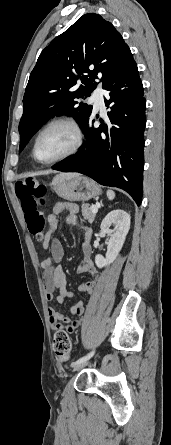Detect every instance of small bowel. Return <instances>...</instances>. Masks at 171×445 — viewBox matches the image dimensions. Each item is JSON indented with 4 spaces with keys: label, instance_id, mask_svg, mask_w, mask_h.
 Segmentation results:
<instances>
[{
    "label": "small bowel",
    "instance_id": "obj_1",
    "mask_svg": "<svg viewBox=\"0 0 171 445\" xmlns=\"http://www.w3.org/2000/svg\"><path fill=\"white\" fill-rule=\"evenodd\" d=\"M63 208L64 205L58 204L54 209V214L50 219L49 230L45 234L42 242V247L50 250V256L43 259L40 263V266L43 269L42 278L46 299L48 301L56 300L58 303H62L67 298L74 297V294L67 289V277L62 265L60 264L64 257V248L58 239L52 238L54 231L59 225L57 214ZM68 208L71 211L76 210L74 205H68ZM81 248L83 259L78 266V272L81 274L88 273L91 275L92 279L83 281L78 288L80 291L87 292L89 295H92L98 282V271L95 268L91 258L92 249L89 231H86L83 237ZM85 310L86 305L83 301H78L71 307L70 316L60 313L53 307H49L48 316L50 325L55 331L61 328L65 331L73 333L79 327L80 321L72 320L71 317L82 316Z\"/></svg>",
    "mask_w": 171,
    "mask_h": 445
}]
</instances>
